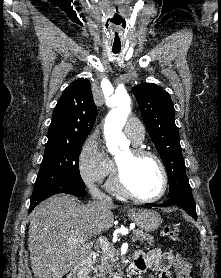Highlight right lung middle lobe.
<instances>
[{"label":"right lung middle lobe","mask_w":221,"mask_h":278,"mask_svg":"<svg viewBox=\"0 0 221 278\" xmlns=\"http://www.w3.org/2000/svg\"><path fill=\"white\" fill-rule=\"evenodd\" d=\"M87 137L46 144L32 197L59 183L84 186L79 172V155Z\"/></svg>","instance_id":"dd1d6c3e"}]
</instances>
